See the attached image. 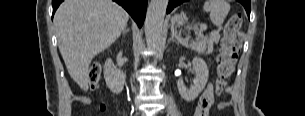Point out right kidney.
I'll return each mask as SVG.
<instances>
[{"instance_id":"obj_1","label":"right kidney","mask_w":305,"mask_h":116,"mask_svg":"<svg viewBox=\"0 0 305 116\" xmlns=\"http://www.w3.org/2000/svg\"><path fill=\"white\" fill-rule=\"evenodd\" d=\"M104 78L108 88L116 94L122 92L125 83V74L118 69L111 59H107L104 65Z\"/></svg>"}]
</instances>
